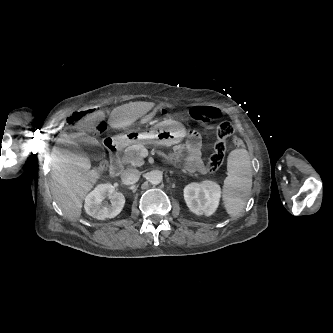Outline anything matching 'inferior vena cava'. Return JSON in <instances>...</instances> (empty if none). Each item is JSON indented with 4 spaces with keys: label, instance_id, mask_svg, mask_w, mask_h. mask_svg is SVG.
Wrapping results in <instances>:
<instances>
[{
    "label": "inferior vena cava",
    "instance_id": "inferior-vena-cava-1",
    "mask_svg": "<svg viewBox=\"0 0 333 333\" xmlns=\"http://www.w3.org/2000/svg\"><path fill=\"white\" fill-rule=\"evenodd\" d=\"M139 178L140 171L136 168H128L121 175V180L125 185L134 184L139 180Z\"/></svg>",
    "mask_w": 333,
    "mask_h": 333
}]
</instances>
